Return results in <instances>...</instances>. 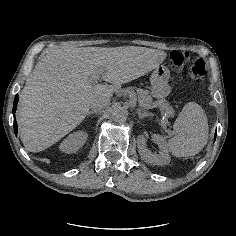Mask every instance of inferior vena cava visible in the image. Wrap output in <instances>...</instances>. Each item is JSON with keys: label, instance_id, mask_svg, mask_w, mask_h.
Returning <instances> with one entry per match:
<instances>
[{"label": "inferior vena cava", "instance_id": "1", "mask_svg": "<svg viewBox=\"0 0 236 236\" xmlns=\"http://www.w3.org/2000/svg\"><path fill=\"white\" fill-rule=\"evenodd\" d=\"M108 103H109V102H108ZM108 103H102V104H100L99 106L92 107V108H102L103 106L107 105Z\"/></svg>", "mask_w": 236, "mask_h": 236}]
</instances>
